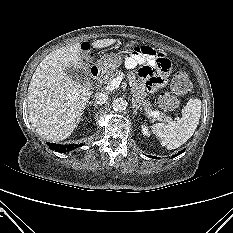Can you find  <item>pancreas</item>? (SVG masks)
Instances as JSON below:
<instances>
[{"label":"pancreas","instance_id":"1","mask_svg":"<svg viewBox=\"0 0 233 233\" xmlns=\"http://www.w3.org/2000/svg\"><path fill=\"white\" fill-rule=\"evenodd\" d=\"M122 72L117 70L114 73L108 74V76L104 79L105 83L111 82L114 78L121 76ZM130 80L132 82V94L135 98V101L139 104L141 108H143L147 113L152 112V107L150 101L146 98L147 93L145 92L144 85L139 81L136 80L134 76H130ZM155 120L159 121H168L170 118L166 115H159L154 117Z\"/></svg>","mask_w":233,"mask_h":233}]
</instances>
